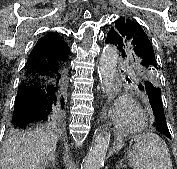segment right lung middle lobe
<instances>
[{
	"label": "right lung middle lobe",
	"instance_id": "obj_1",
	"mask_svg": "<svg viewBox=\"0 0 177 169\" xmlns=\"http://www.w3.org/2000/svg\"><path fill=\"white\" fill-rule=\"evenodd\" d=\"M63 124H64V121L63 122H60V123H57V127H62L63 126Z\"/></svg>",
	"mask_w": 177,
	"mask_h": 169
}]
</instances>
